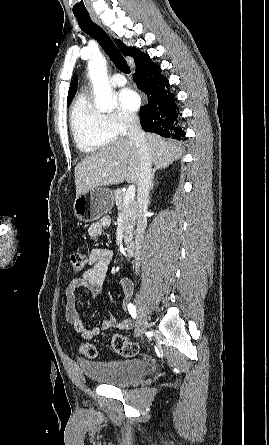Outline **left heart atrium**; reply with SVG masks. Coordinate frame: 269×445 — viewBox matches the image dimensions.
<instances>
[{"label":"left heart atrium","instance_id":"obj_1","mask_svg":"<svg viewBox=\"0 0 269 445\" xmlns=\"http://www.w3.org/2000/svg\"><path fill=\"white\" fill-rule=\"evenodd\" d=\"M118 98L122 108L129 112L136 111L140 105L139 95L131 89H123Z\"/></svg>","mask_w":269,"mask_h":445}]
</instances>
